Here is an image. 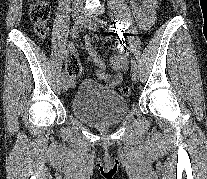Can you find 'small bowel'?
Returning a JSON list of instances; mask_svg holds the SVG:
<instances>
[{"mask_svg":"<svg viewBox=\"0 0 207 179\" xmlns=\"http://www.w3.org/2000/svg\"><path fill=\"white\" fill-rule=\"evenodd\" d=\"M132 9L136 14V23L142 30L149 29L155 21V10L157 7V0H130ZM85 49L91 57L92 61L97 67L96 77L97 79L105 83V87L109 90H113L116 86L121 84L123 76L128 70V62L126 59V49L123 44L115 43L114 47L118 50L119 54L110 58L109 62L115 71L114 76L105 72V62L98 54L96 48L92 45L91 39L86 38L84 40ZM70 52H74V48H70ZM78 61V60H77ZM70 84L74 85V78L69 80Z\"/></svg>","mask_w":207,"mask_h":179,"instance_id":"obj_1","label":"small bowel"}]
</instances>
